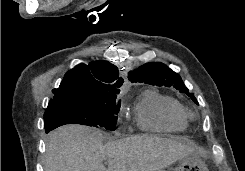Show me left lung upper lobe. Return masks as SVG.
I'll use <instances>...</instances> for the list:
<instances>
[{
    "mask_svg": "<svg viewBox=\"0 0 245 171\" xmlns=\"http://www.w3.org/2000/svg\"><path fill=\"white\" fill-rule=\"evenodd\" d=\"M129 80L149 85L174 87L181 93L187 94L194 103L198 104L194 94L188 92L181 77L160 62L142 65L137 70L129 73Z\"/></svg>",
    "mask_w": 245,
    "mask_h": 171,
    "instance_id": "5c2ea615",
    "label": "left lung upper lobe"
}]
</instances>
